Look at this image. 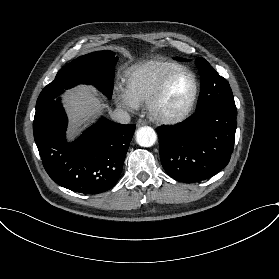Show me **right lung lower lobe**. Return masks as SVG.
<instances>
[{"mask_svg": "<svg viewBox=\"0 0 279 279\" xmlns=\"http://www.w3.org/2000/svg\"><path fill=\"white\" fill-rule=\"evenodd\" d=\"M66 127L60 98L36 108L34 139L50 178L86 195L111 189L120 177L136 126L101 118L71 143L66 141Z\"/></svg>", "mask_w": 279, "mask_h": 279, "instance_id": "1", "label": "right lung lower lobe"}]
</instances>
